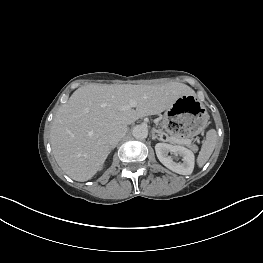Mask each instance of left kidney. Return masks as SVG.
Segmentation results:
<instances>
[{
	"label": "left kidney",
	"mask_w": 263,
	"mask_h": 263,
	"mask_svg": "<svg viewBox=\"0 0 263 263\" xmlns=\"http://www.w3.org/2000/svg\"><path fill=\"white\" fill-rule=\"evenodd\" d=\"M155 151L159 161L173 172L181 175H190L193 172L195 157L191 150L180 145L157 143ZM169 153L175 157H182L183 162H176L174 157L169 155Z\"/></svg>",
	"instance_id": "5707ae66"
}]
</instances>
